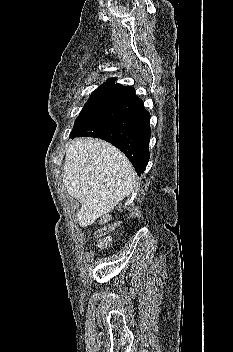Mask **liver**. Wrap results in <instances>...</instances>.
<instances>
[{"label":"liver","instance_id":"obj_1","mask_svg":"<svg viewBox=\"0 0 233 352\" xmlns=\"http://www.w3.org/2000/svg\"><path fill=\"white\" fill-rule=\"evenodd\" d=\"M63 183L81 209L82 227L107 215L135 188L136 173L127 157L103 140L74 141L66 152Z\"/></svg>","mask_w":233,"mask_h":352}]
</instances>
